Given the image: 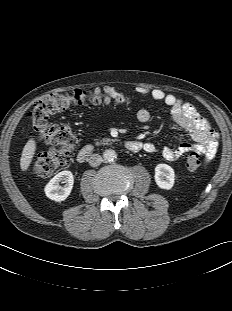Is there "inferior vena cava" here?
Instances as JSON below:
<instances>
[{"label": "inferior vena cava", "mask_w": 232, "mask_h": 311, "mask_svg": "<svg viewBox=\"0 0 232 311\" xmlns=\"http://www.w3.org/2000/svg\"><path fill=\"white\" fill-rule=\"evenodd\" d=\"M102 162V157L98 154H93L89 158V164L92 167H97L101 164Z\"/></svg>", "instance_id": "1"}]
</instances>
